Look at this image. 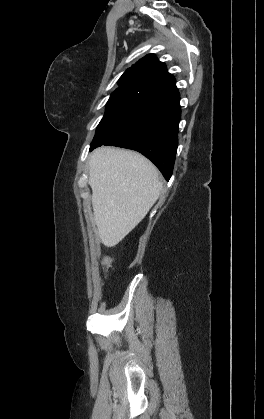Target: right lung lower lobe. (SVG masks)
I'll return each mask as SVG.
<instances>
[{
	"label": "right lung lower lobe",
	"mask_w": 264,
	"mask_h": 419,
	"mask_svg": "<svg viewBox=\"0 0 264 419\" xmlns=\"http://www.w3.org/2000/svg\"><path fill=\"white\" fill-rule=\"evenodd\" d=\"M179 99L177 91L147 100L131 121L102 145L123 147L142 153L169 180L178 146L177 134L181 115Z\"/></svg>",
	"instance_id": "obj_1"
}]
</instances>
